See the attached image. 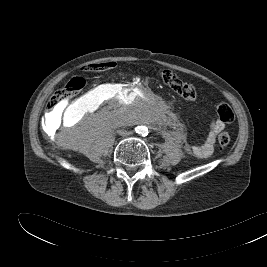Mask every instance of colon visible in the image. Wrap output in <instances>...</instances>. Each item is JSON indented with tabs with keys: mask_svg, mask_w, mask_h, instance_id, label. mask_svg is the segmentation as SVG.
<instances>
[{
	"mask_svg": "<svg viewBox=\"0 0 267 267\" xmlns=\"http://www.w3.org/2000/svg\"><path fill=\"white\" fill-rule=\"evenodd\" d=\"M112 66L111 62L93 64L91 70H105ZM160 78L165 85L177 93L186 101H194L197 97L195 87L180 79L177 74L168 69L160 71ZM85 85V80L81 76H75L70 79L64 86L58 89L51 97L48 103L49 112H53L57 107L64 104L78 92H80ZM216 113L220 120L229 123L234 119V113L230 105L225 102H218L216 104ZM218 144L220 147H226L230 143V135L224 131L218 135Z\"/></svg>",
	"mask_w": 267,
	"mask_h": 267,
	"instance_id": "obj_1",
	"label": "colon"
}]
</instances>
